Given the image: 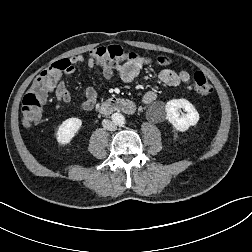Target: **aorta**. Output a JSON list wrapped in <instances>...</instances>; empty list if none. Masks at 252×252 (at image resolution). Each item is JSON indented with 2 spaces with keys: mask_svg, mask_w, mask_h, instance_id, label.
Segmentation results:
<instances>
[{
  "mask_svg": "<svg viewBox=\"0 0 252 252\" xmlns=\"http://www.w3.org/2000/svg\"><path fill=\"white\" fill-rule=\"evenodd\" d=\"M112 120L118 126H123L125 124V117L121 113H114L112 115Z\"/></svg>",
  "mask_w": 252,
  "mask_h": 252,
  "instance_id": "obj_1",
  "label": "aorta"
}]
</instances>
